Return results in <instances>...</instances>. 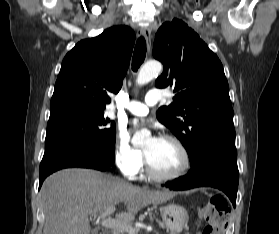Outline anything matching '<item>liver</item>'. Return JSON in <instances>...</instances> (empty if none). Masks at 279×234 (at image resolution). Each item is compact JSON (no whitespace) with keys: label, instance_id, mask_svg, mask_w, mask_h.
Masks as SVG:
<instances>
[{"label":"liver","instance_id":"obj_1","mask_svg":"<svg viewBox=\"0 0 279 234\" xmlns=\"http://www.w3.org/2000/svg\"><path fill=\"white\" fill-rule=\"evenodd\" d=\"M173 196L169 191L137 187L95 170L64 169L49 176L40 191L45 215L43 234H89L91 214L124 202L126 211L116 214V218L129 222L143 207L164 203Z\"/></svg>","mask_w":279,"mask_h":234}]
</instances>
